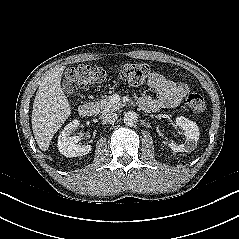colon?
I'll return each instance as SVG.
<instances>
[{
  "mask_svg": "<svg viewBox=\"0 0 239 239\" xmlns=\"http://www.w3.org/2000/svg\"><path fill=\"white\" fill-rule=\"evenodd\" d=\"M149 74V68L144 63H127L122 65L116 72L118 79L128 85L138 86L144 83ZM104 69L90 65H78L66 71L65 78L76 87H85L96 84L106 79ZM189 108L196 114L205 111L206 104L202 95L191 93L187 97Z\"/></svg>",
  "mask_w": 239,
  "mask_h": 239,
  "instance_id": "obj_1",
  "label": "colon"
}]
</instances>
